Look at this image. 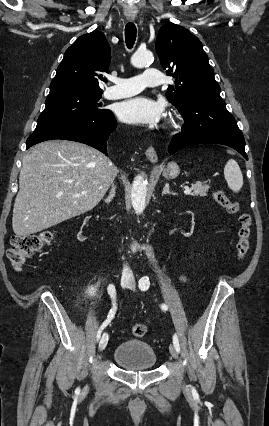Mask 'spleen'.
Masks as SVG:
<instances>
[{
    "mask_svg": "<svg viewBox=\"0 0 269 426\" xmlns=\"http://www.w3.org/2000/svg\"><path fill=\"white\" fill-rule=\"evenodd\" d=\"M224 177L228 187L238 193L243 186V175L238 163L234 159H229L224 167Z\"/></svg>",
    "mask_w": 269,
    "mask_h": 426,
    "instance_id": "obj_1",
    "label": "spleen"
}]
</instances>
